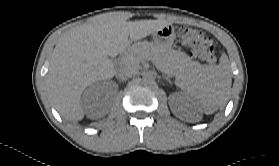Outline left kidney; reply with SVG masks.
Instances as JSON below:
<instances>
[{
	"instance_id": "obj_1",
	"label": "left kidney",
	"mask_w": 279,
	"mask_h": 166,
	"mask_svg": "<svg viewBox=\"0 0 279 166\" xmlns=\"http://www.w3.org/2000/svg\"><path fill=\"white\" fill-rule=\"evenodd\" d=\"M177 98H178V107L181 109L194 108L196 106L194 100L186 94H180V95L178 94Z\"/></svg>"
}]
</instances>
